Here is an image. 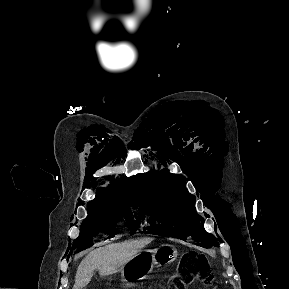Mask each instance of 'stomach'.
I'll use <instances>...</instances> for the list:
<instances>
[{"label":"stomach","instance_id":"obj_1","mask_svg":"<svg viewBox=\"0 0 289 289\" xmlns=\"http://www.w3.org/2000/svg\"><path fill=\"white\" fill-rule=\"evenodd\" d=\"M177 255V250L169 244H163L153 250H141L121 268L123 284L126 286L133 285L134 281L141 280L150 274L154 266L170 264L176 259Z\"/></svg>","mask_w":289,"mask_h":289}]
</instances>
